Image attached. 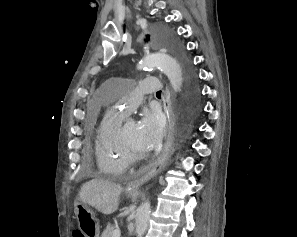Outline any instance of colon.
Instances as JSON below:
<instances>
[{"label": "colon", "mask_w": 297, "mask_h": 237, "mask_svg": "<svg viewBox=\"0 0 297 237\" xmlns=\"http://www.w3.org/2000/svg\"><path fill=\"white\" fill-rule=\"evenodd\" d=\"M73 237H84V235L81 234L80 232H74Z\"/></svg>", "instance_id": "5ec220e1"}]
</instances>
